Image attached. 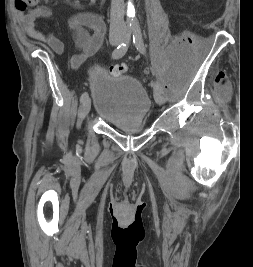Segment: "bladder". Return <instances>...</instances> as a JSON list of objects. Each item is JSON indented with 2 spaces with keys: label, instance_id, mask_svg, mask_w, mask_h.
I'll return each instance as SVG.
<instances>
[{
  "label": "bladder",
  "instance_id": "bladder-1",
  "mask_svg": "<svg viewBox=\"0 0 253 267\" xmlns=\"http://www.w3.org/2000/svg\"><path fill=\"white\" fill-rule=\"evenodd\" d=\"M91 90L96 115L109 123L141 121L150 111L146 89L130 76L98 69L92 77Z\"/></svg>",
  "mask_w": 253,
  "mask_h": 267
}]
</instances>
